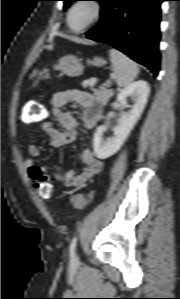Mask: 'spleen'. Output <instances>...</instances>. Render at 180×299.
<instances>
[{
  "mask_svg": "<svg viewBox=\"0 0 180 299\" xmlns=\"http://www.w3.org/2000/svg\"><path fill=\"white\" fill-rule=\"evenodd\" d=\"M113 78L119 87L130 85L139 73L137 64L117 49L109 50Z\"/></svg>",
  "mask_w": 180,
  "mask_h": 299,
  "instance_id": "obj_1",
  "label": "spleen"
}]
</instances>
